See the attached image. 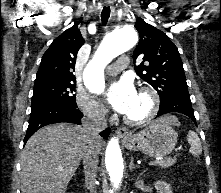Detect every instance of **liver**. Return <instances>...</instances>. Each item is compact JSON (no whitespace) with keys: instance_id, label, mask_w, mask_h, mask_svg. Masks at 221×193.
I'll use <instances>...</instances> for the list:
<instances>
[{"instance_id":"6515ba94","label":"liver","mask_w":221,"mask_h":193,"mask_svg":"<svg viewBox=\"0 0 221 193\" xmlns=\"http://www.w3.org/2000/svg\"><path fill=\"white\" fill-rule=\"evenodd\" d=\"M161 120L180 125L174 116ZM86 140V132L74 124L60 123L39 129L29 138L21 154L22 193H65L82 159ZM97 147L100 151L101 138L97 140Z\"/></svg>"}]
</instances>
